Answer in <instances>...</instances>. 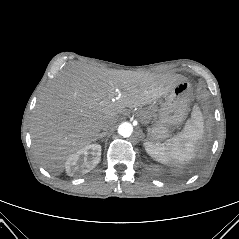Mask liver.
<instances>
[{
	"mask_svg": "<svg viewBox=\"0 0 239 239\" xmlns=\"http://www.w3.org/2000/svg\"><path fill=\"white\" fill-rule=\"evenodd\" d=\"M182 76L77 65L49 83L33 111V150L44 169L59 176L68 157L97 140L101 124L125 108L143 107L167 95Z\"/></svg>",
	"mask_w": 239,
	"mask_h": 239,
	"instance_id": "6515ba94",
	"label": "liver"
}]
</instances>
